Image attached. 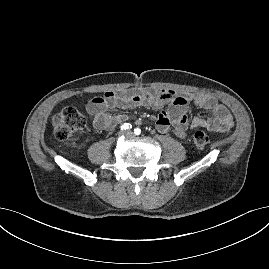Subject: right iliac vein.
Returning a JSON list of instances; mask_svg holds the SVG:
<instances>
[{
	"instance_id": "obj_1",
	"label": "right iliac vein",
	"mask_w": 269,
	"mask_h": 269,
	"mask_svg": "<svg viewBox=\"0 0 269 269\" xmlns=\"http://www.w3.org/2000/svg\"><path fill=\"white\" fill-rule=\"evenodd\" d=\"M118 134H119L120 136L125 135V131H120Z\"/></svg>"
}]
</instances>
